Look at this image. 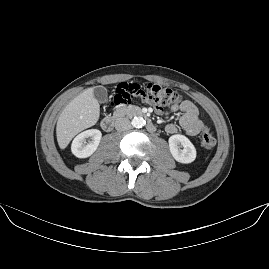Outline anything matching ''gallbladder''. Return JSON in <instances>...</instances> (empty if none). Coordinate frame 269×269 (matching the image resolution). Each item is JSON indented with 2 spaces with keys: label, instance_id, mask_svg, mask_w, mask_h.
<instances>
[{
  "label": "gallbladder",
  "instance_id": "1",
  "mask_svg": "<svg viewBox=\"0 0 269 269\" xmlns=\"http://www.w3.org/2000/svg\"><path fill=\"white\" fill-rule=\"evenodd\" d=\"M94 96L99 102H105L107 98V91L104 87L98 86L93 89Z\"/></svg>",
  "mask_w": 269,
  "mask_h": 269
}]
</instances>
